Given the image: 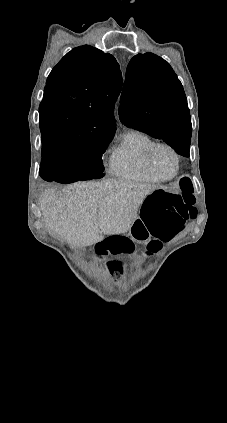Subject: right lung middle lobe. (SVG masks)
I'll return each mask as SVG.
<instances>
[{"label": "right lung middle lobe", "instance_id": "obj_1", "mask_svg": "<svg viewBox=\"0 0 227 423\" xmlns=\"http://www.w3.org/2000/svg\"><path fill=\"white\" fill-rule=\"evenodd\" d=\"M112 138L113 135L73 136L42 143L41 162L52 161L68 167L70 176L76 181L102 178V154Z\"/></svg>", "mask_w": 227, "mask_h": 423}]
</instances>
